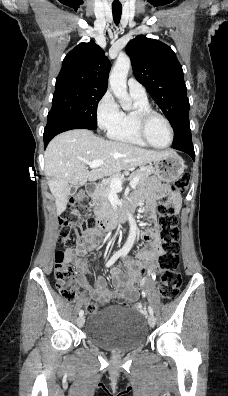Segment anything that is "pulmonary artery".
Segmentation results:
<instances>
[{"mask_svg":"<svg viewBox=\"0 0 228 396\" xmlns=\"http://www.w3.org/2000/svg\"><path fill=\"white\" fill-rule=\"evenodd\" d=\"M128 89L131 95L140 97V98H146L147 93L144 88V86L139 83L135 78L131 77L127 81Z\"/></svg>","mask_w":228,"mask_h":396,"instance_id":"e3ab8cb5","label":"pulmonary artery"}]
</instances>
